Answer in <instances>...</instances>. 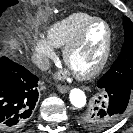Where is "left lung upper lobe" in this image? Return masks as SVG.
Here are the masks:
<instances>
[{
    "label": "left lung upper lobe",
    "instance_id": "5c2ea615",
    "mask_svg": "<svg viewBox=\"0 0 133 133\" xmlns=\"http://www.w3.org/2000/svg\"><path fill=\"white\" fill-rule=\"evenodd\" d=\"M123 28L125 39L121 53L109 71L99 79L97 83L99 88H104L107 85H121L133 90V23L128 17L123 19ZM99 99L102 98L99 97ZM95 102L99 105L94 108V111L91 109L81 112L77 117L78 124L85 130H104L112 124V117H107L104 120L95 119L97 108L104 106L103 101L102 103L97 100Z\"/></svg>",
    "mask_w": 133,
    "mask_h": 133
}]
</instances>
